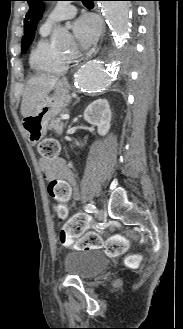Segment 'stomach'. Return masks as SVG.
<instances>
[{
    "label": "stomach",
    "mask_w": 183,
    "mask_h": 329,
    "mask_svg": "<svg viewBox=\"0 0 183 329\" xmlns=\"http://www.w3.org/2000/svg\"><path fill=\"white\" fill-rule=\"evenodd\" d=\"M71 102L67 83L58 82L54 93L45 97L27 117L23 119V128L30 143L37 144L47 133L48 123Z\"/></svg>",
    "instance_id": "1"
}]
</instances>
